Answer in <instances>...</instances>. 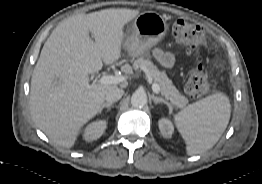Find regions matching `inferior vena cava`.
Instances as JSON below:
<instances>
[{
  "label": "inferior vena cava",
  "instance_id": "1",
  "mask_svg": "<svg viewBox=\"0 0 262 184\" xmlns=\"http://www.w3.org/2000/svg\"><path fill=\"white\" fill-rule=\"evenodd\" d=\"M124 94L120 88H113L106 93L105 100L107 103L117 102Z\"/></svg>",
  "mask_w": 262,
  "mask_h": 184
}]
</instances>
